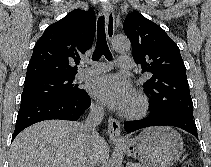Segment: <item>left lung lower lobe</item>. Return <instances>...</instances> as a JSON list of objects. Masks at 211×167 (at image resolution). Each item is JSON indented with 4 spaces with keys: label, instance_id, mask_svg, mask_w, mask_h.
<instances>
[{
    "label": "left lung lower lobe",
    "instance_id": "obj_1",
    "mask_svg": "<svg viewBox=\"0 0 211 167\" xmlns=\"http://www.w3.org/2000/svg\"><path fill=\"white\" fill-rule=\"evenodd\" d=\"M149 126H175L191 133L198 138L195 121L192 117L183 114H151L149 117L142 120L128 121L124 124V128L127 132H133Z\"/></svg>",
    "mask_w": 211,
    "mask_h": 167
}]
</instances>
